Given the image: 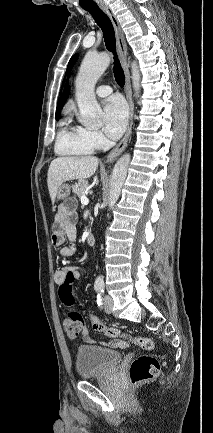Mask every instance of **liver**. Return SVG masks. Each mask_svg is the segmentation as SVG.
Here are the masks:
<instances>
[{"label": "liver", "instance_id": "6515ba94", "mask_svg": "<svg viewBox=\"0 0 213 433\" xmlns=\"http://www.w3.org/2000/svg\"><path fill=\"white\" fill-rule=\"evenodd\" d=\"M99 160L94 156L58 157L48 169L47 185L52 203L58 188L66 181L90 178L98 167Z\"/></svg>", "mask_w": 213, "mask_h": 433}]
</instances>
